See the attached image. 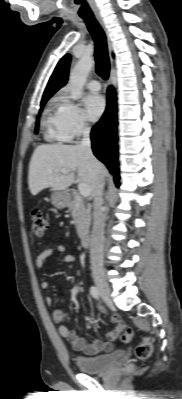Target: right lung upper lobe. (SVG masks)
<instances>
[{"label": "right lung upper lobe", "instance_id": "right-lung-upper-lobe-1", "mask_svg": "<svg viewBox=\"0 0 182 399\" xmlns=\"http://www.w3.org/2000/svg\"><path fill=\"white\" fill-rule=\"evenodd\" d=\"M71 57L65 55L55 67L52 76L49 79L43 98H50L57 90L63 87L68 80V71ZM42 98V99H43Z\"/></svg>", "mask_w": 182, "mask_h": 399}]
</instances>
